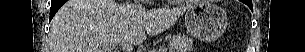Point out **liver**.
I'll return each instance as SVG.
<instances>
[{
  "label": "liver",
  "instance_id": "obj_1",
  "mask_svg": "<svg viewBox=\"0 0 305 52\" xmlns=\"http://www.w3.org/2000/svg\"><path fill=\"white\" fill-rule=\"evenodd\" d=\"M191 4L146 11L113 0H69L51 21L50 52H110L171 27Z\"/></svg>",
  "mask_w": 305,
  "mask_h": 52
}]
</instances>
